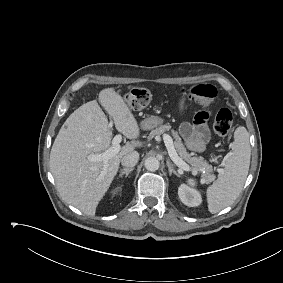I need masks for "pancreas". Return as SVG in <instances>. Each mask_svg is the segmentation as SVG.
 Returning a JSON list of instances; mask_svg holds the SVG:
<instances>
[{
    "label": "pancreas",
    "instance_id": "1",
    "mask_svg": "<svg viewBox=\"0 0 283 283\" xmlns=\"http://www.w3.org/2000/svg\"><path fill=\"white\" fill-rule=\"evenodd\" d=\"M166 131H170L174 139V147L179 154L180 158L191 165V169L194 172L200 171L202 174L201 181L202 183H210L213 179L211 175L212 167L209 165L202 156H193V153H189L186 150L185 145L182 143L181 138L178 135V132L171 129L170 125H161L160 127L152 130L150 136L164 134Z\"/></svg>",
    "mask_w": 283,
    "mask_h": 283
}]
</instances>
